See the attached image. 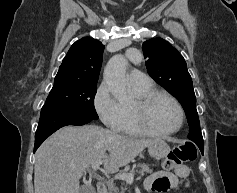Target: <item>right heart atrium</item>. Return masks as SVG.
<instances>
[{"mask_svg": "<svg viewBox=\"0 0 237 193\" xmlns=\"http://www.w3.org/2000/svg\"><path fill=\"white\" fill-rule=\"evenodd\" d=\"M93 102L101 121L113 131L120 132L124 121L123 106L111 93L106 83L99 85Z\"/></svg>", "mask_w": 237, "mask_h": 193, "instance_id": "d8ad5b80", "label": "right heart atrium"}]
</instances>
